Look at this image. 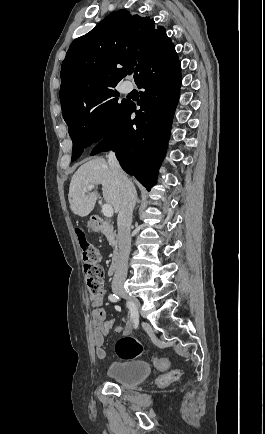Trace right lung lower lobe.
I'll return each instance as SVG.
<instances>
[{
    "mask_svg": "<svg viewBox=\"0 0 265 434\" xmlns=\"http://www.w3.org/2000/svg\"><path fill=\"white\" fill-rule=\"evenodd\" d=\"M135 82L141 92L122 122L94 148L91 155L112 149L122 168L147 190L155 184L166 151L171 119L179 98L181 65L175 49L149 62ZM135 113L136 117L131 118Z\"/></svg>",
    "mask_w": 265,
    "mask_h": 434,
    "instance_id": "1",
    "label": "right lung lower lobe"
}]
</instances>
